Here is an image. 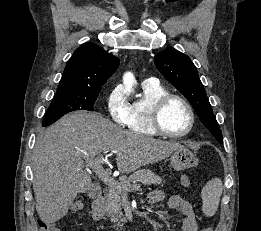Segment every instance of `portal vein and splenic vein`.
Returning <instances> with one entry per match:
<instances>
[{"mask_svg": "<svg viewBox=\"0 0 261 231\" xmlns=\"http://www.w3.org/2000/svg\"><path fill=\"white\" fill-rule=\"evenodd\" d=\"M117 151H111L110 154H107L108 151L103 152L104 155H99L95 158H90L87 160V166L92 168L95 173L98 175V177L100 178V180L106 184L107 186H109L110 188H117V189H123L125 192L128 191H135V190H139L140 189V185L135 184V186L131 187V188H126V187H121L120 184L113 179L102 167V163L105 160V158H107V156L116 153Z\"/></svg>", "mask_w": 261, "mask_h": 231, "instance_id": "portal-vein-and-splenic-vein-1", "label": "portal vein and splenic vein"}]
</instances>
